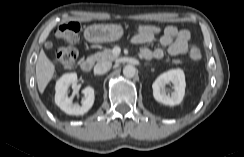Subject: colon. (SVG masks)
Returning a JSON list of instances; mask_svg holds the SVG:
<instances>
[{
    "instance_id": "obj_1",
    "label": "colon",
    "mask_w": 244,
    "mask_h": 157,
    "mask_svg": "<svg viewBox=\"0 0 244 157\" xmlns=\"http://www.w3.org/2000/svg\"><path fill=\"white\" fill-rule=\"evenodd\" d=\"M161 32V28L154 24H142L136 28V34L157 35ZM55 36L64 43L63 46L57 48L54 52L53 61L56 65L63 69H72L77 60V51L74 47L80 39V25L78 22L70 21L61 24L55 31ZM190 56L194 60H198L202 56L201 49L195 45L191 48Z\"/></svg>"
}]
</instances>
